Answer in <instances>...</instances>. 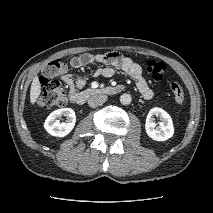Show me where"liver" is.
Here are the masks:
<instances>
[{
  "instance_id": "liver-1",
  "label": "liver",
  "mask_w": 213,
  "mask_h": 213,
  "mask_svg": "<svg viewBox=\"0 0 213 213\" xmlns=\"http://www.w3.org/2000/svg\"><path fill=\"white\" fill-rule=\"evenodd\" d=\"M40 93H41V85H40L38 77L36 76L34 80L32 81L31 88H30V102L32 105L36 102Z\"/></svg>"
}]
</instances>
